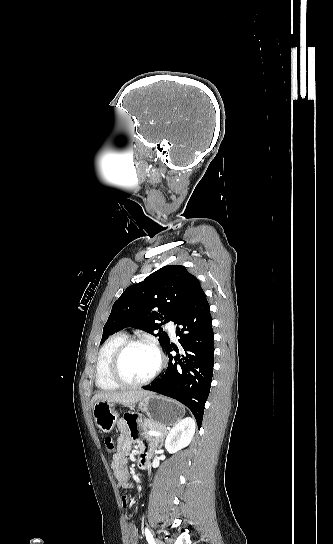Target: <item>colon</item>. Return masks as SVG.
Instances as JSON below:
<instances>
[{"label": "colon", "instance_id": "obj_1", "mask_svg": "<svg viewBox=\"0 0 333 544\" xmlns=\"http://www.w3.org/2000/svg\"><path fill=\"white\" fill-rule=\"evenodd\" d=\"M104 445L108 452L112 453L115 450V442L111 436H106L104 438Z\"/></svg>", "mask_w": 333, "mask_h": 544}]
</instances>
